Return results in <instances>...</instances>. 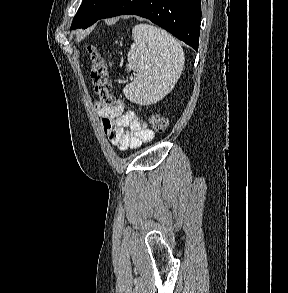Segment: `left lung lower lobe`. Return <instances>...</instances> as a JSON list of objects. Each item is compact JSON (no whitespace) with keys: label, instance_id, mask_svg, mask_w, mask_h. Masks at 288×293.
<instances>
[{"label":"left lung lower lobe","instance_id":"left-lung-lower-lobe-1","mask_svg":"<svg viewBox=\"0 0 288 293\" xmlns=\"http://www.w3.org/2000/svg\"><path fill=\"white\" fill-rule=\"evenodd\" d=\"M124 14L147 18L198 50L201 0H117L99 19Z\"/></svg>","mask_w":288,"mask_h":293}]
</instances>
